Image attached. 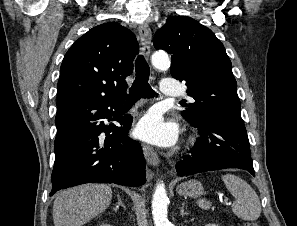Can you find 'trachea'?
I'll use <instances>...</instances> for the list:
<instances>
[{
	"instance_id": "1",
	"label": "trachea",
	"mask_w": 297,
	"mask_h": 226,
	"mask_svg": "<svg viewBox=\"0 0 297 226\" xmlns=\"http://www.w3.org/2000/svg\"><path fill=\"white\" fill-rule=\"evenodd\" d=\"M136 78L129 90V97L126 104H133L138 101L141 97L153 98L156 92L152 90L148 83L150 68L146 60L140 55L135 62Z\"/></svg>"
}]
</instances>
